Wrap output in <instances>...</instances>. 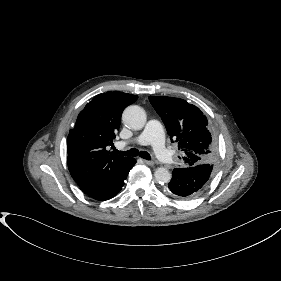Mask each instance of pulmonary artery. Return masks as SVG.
<instances>
[{"instance_id": "1", "label": "pulmonary artery", "mask_w": 281, "mask_h": 281, "mask_svg": "<svg viewBox=\"0 0 281 281\" xmlns=\"http://www.w3.org/2000/svg\"><path fill=\"white\" fill-rule=\"evenodd\" d=\"M134 142L140 145H151L156 156L164 164H173L175 162V157L170 150L167 149L165 145L164 131L161 123L158 120H150L142 133L134 139ZM128 142L118 141L116 143L117 148H124Z\"/></svg>"}]
</instances>
